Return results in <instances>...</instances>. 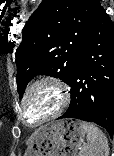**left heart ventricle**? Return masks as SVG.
<instances>
[{"label": "left heart ventricle", "instance_id": "b2bd125f", "mask_svg": "<svg viewBox=\"0 0 114 156\" xmlns=\"http://www.w3.org/2000/svg\"><path fill=\"white\" fill-rule=\"evenodd\" d=\"M57 102L58 96L52 87L48 85L37 87L26 103L28 120L34 122L51 113L56 108Z\"/></svg>", "mask_w": 114, "mask_h": 156}]
</instances>
